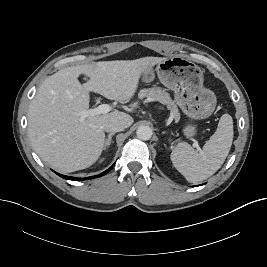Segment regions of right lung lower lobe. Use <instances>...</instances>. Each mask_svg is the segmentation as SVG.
I'll return each instance as SVG.
<instances>
[{
	"mask_svg": "<svg viewBox=\"0 0 267 267\" xmlns=\"http://www.w3.org/2000/svg\"><path fill=\"white\" fill-rule=\"evenodd\" d=\"M114 165H112L109 169H107L106 171H104L103 173H101L100 175L97 176H92V177H88V178H76V177H70V176H65V175H61L59 173H56L57 175H59L60 177L64 178V179H68V180H74V181H79V180H87V179H92V178H97L100 176H103L105 174H107L113 167Z\"/></svg>",
	"mask_w": 267,
	"mask_h": 267,
	"instance_id": "1",
	"label": "right lung lower lobe"
}]
</instances>
